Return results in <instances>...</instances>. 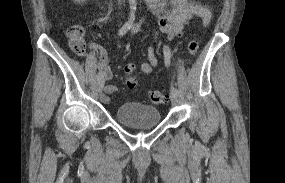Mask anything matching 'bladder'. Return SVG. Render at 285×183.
I'll list each match as a JSON object with an SVG mask.
<instances>
[{
    "label": "bladder",
    "instance_id": "bladder-1",
    "mask_svg": "<svg viewBox=\"0 0 285 183\" xmlns=\"http://www.w3.org/2000/svg\"><path fill=\"white\" fill-rule=\"evenodd\" d=\"M116 119L124 125L155 126L160 123V112L153 106L128 102L117 108Z\"/></svg>",
    "mask_w": 285,
    "mask_h": 183
}]
</instances>
